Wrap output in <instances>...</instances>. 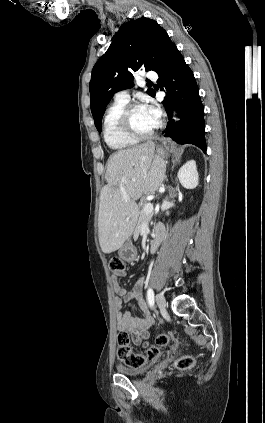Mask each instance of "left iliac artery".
Returning <instances> with one entry per match:
<instances>
[{"mask_svg":"<svg viewBox=\"0 0 265 423\" xmlns=\"http://www.w3.org/2000/svg\"><path fill=\"white\" fill-rule=\"evenodd\" d=\"M147 300H148L150 307H153V305H154V292H153L152 288H149L147 290Z\"/></svg>","mask_w":265,"mask_h":423,"instance_id":"obj_1","label":"left iliac artery"}]
</instances>
